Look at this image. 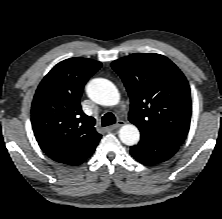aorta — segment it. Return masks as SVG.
I'll return each mask as SVG.
<instances>
[{
    "instance_id": "obj_1",
    "label": "aorta",
    "mask_w": 222,
    "mask_h": 219,
    "mask_svg": "<svg viewBox=\"0 0 222 219\" xmlns=\"http://www.w3.org/2000/svg\"><path fill=\"white\" fill-rule=\"evenodd\" d=\"M86 91L90 99L100 105L113 106L118 104L120 100L116 86L104 78L91 80L87 84ZM119 138L124 144L132 146L139 142L140 132L135 125L127 124L120 128Z\"/></svg>"
}]
</instances>
